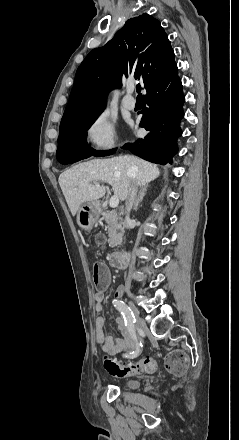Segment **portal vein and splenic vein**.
<instances>
[{"label": "portal vein and splenic vein", "mask_w": 239, "mask_h": 440, "mask_svg": "<svg viewBox=\"0 0 239 440\" xmlns=\"http://www.w3.org/2000/svg\"><path fill=\"white\" fill-rule=\"evenodd\" d=\"M96 188H99V184H95ZM119 204V198L118 196H112L110 202H109V206L110 208H117Z\"/></svg>", "instance_id": "portal-vein-and-splenic-vein-1"}]
</instances>
